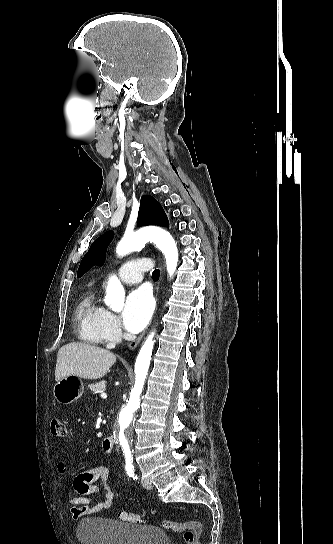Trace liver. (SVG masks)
I'll use <instances>...</instances> for the list:
<instances>
[{"label": "liver", "mask_w": 333, "mask_h": 544, "mask_svg": "<svg viewBox=\"0 0 333 544\" xmlns=\"http://www.w3.org/2000/svg\"><path fill=\"white\" fill-rule=\"evenodd\" d=\"M115 362L116 356L109 350L86 343H68L58 351L55 380L70 375L100 379Z\"/></svg>", "instance_id": "6515ba94"}]
</instances>
